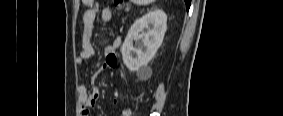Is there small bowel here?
<instances>
[{
  "label": "small bowel",
  "mask_w": 283,
  "mask_h": 116,
  "mask_svg": "<svg viewBox=\"0 0 283 116\" xmlns=\"http://www.w3.org/2000/svg\"><path fill=\"white\" fill-rule=\"evenodd\" d=\"M84 5L87 9L85 10L82 18V34H81V45L82 50L77 57V64L84 65L88 60L94 57L95 49L92 45V36L94 32V22L96 15L99 14L102 22H108L111 19V12L108 8H100L97 1L94 0H83ZM121 38L117 36L114 41L105 49L106 54V65L105 67H114L117 63L115 52L120 47ZM78 99L81 107V115H88V109L93 108L97 105L99 100V90L95 87L90 88L85 84H81L78 87ZM113 103H117L114 99ZM121 116H131L132 111L130 109H124Z\"/></svg>",
  "instance_id": "obj_1"
}]
</instances>
